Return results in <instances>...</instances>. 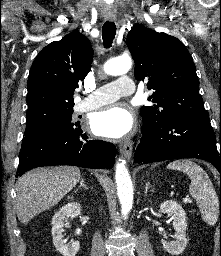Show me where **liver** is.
<instances>
[{
    "mask_svg": "<svg viewBox=\"0 0 221 256\" xmlns=\"http://www.w3.org/2000/svg\"><path fill=\"white\" fill-rule=\"evenodd\" d=\"M80 170L72 166L33 169L16 184V213L27 224L42 211L56 205L79 182Z\"/></svg>",
    "mask_w": 221,
    "mask_h": 256,
    "instance_id": "6515ba94",
    "label": "liver"
}]
</instances>
